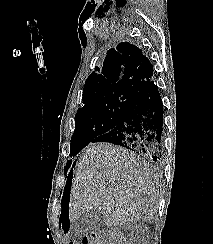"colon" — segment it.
<instances>
[{
	"instance_id": "colon-1",
	"label": "colon",
	"mask_w": 213,
	"mask_h": 244,
	"mask_svg": "<svg viewBox=\"0 0 213 244\" xmlns=\"http://www.w3.org/2000/svg\"><path fill=\"white\" fill-rule=\"evenodd\" d=\"M69 244H77L70 242ZM82 244H114L111 239L104 234H93L92 236H85L82 240Z\"/></svg>"
}]
</instances>
